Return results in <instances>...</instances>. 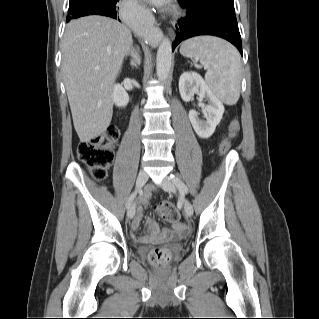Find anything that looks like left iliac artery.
I'll use <instances>...</instances> for the list:
<instances>
[{
    "label": "left iliac artery",
    "mask_w": 319,
    "mask_h": 319,
    "mask_svg": "<svg viewBox=\"0 0 319 319\" xmlns=\"http://www.w3.org/2000/svg\"><path fill=\"white\" fill-rule=\"evenodd\" d=\"M171 180L172 182L178 187L179 191L183 194H187L188 193V188L187 186L184 184V182L175 175H171Z\"/></svg>",
    "instance_id": "1"
}]
</instances>
